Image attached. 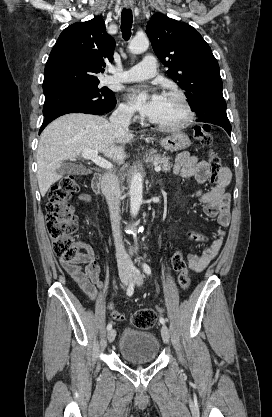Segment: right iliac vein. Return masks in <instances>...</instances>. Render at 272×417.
Returning a JSON list of instances; mask_svg holds the SVG:
<instances>
[{
    "label": "right iliac vein",
    "mask_w": 272,
    "mask_h": 417,
    "mask_svg": "<svg viewBox=\"0 0 272 417\" xmlns=\"http://www.w3.org/2000/svg\"><path fill=\"white\" fill-rule=\"evenodd\" d=\"M130 281H131L130 276H125L122 279V282H123L124 285H128L130 283ZM115 337H116V331H115V329L109 330V332L107 334L108 341L110 343L113 342L114 339H115Z\"/></svg>",
    "instance_id": "63e3f726"
}]
</instances>
